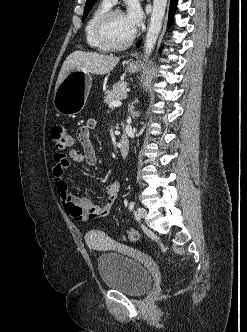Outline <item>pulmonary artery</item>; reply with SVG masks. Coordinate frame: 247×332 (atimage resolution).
Returning <instances> with one entry per match:
<instances>
[{
  "label": "pulmonary artery",
  "instance_id": "pulmonary-artery-1",
  "mask_svg": "<svg viewBox=\"0 0 247 332\" xmlns=\"http://www.w3.org/2000/svg\"><path fill=\"white\" fill-rule=\"evenodd\" d=\"M104 1H106L110 5H114L117 2V0H104Z\"/></svg>",
  "mask_w": 247,
  "mask_h": 332
}]
</instances>
